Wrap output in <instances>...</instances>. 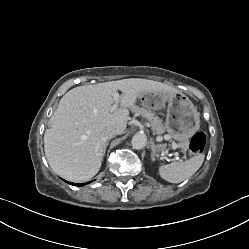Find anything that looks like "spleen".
Returning a JSON list of instances; mask_svg holds the SVG:
<instances>
[{"mask_svg":"<svg viewBox=\"0 0 249 249\" xmlns=\"http://www.w3.org/2000/svg\"><path fill=\"white\" fill-rule=\"evenodd\" d=\"M205 155L199 153L184 162H172L159 167L160 176L170 183H180L195 174L202 166Z\"/></svg>","mask_w":249,"mask_h":249,"instance_id":"obj_1","label":"spleen"}]
</instances>
